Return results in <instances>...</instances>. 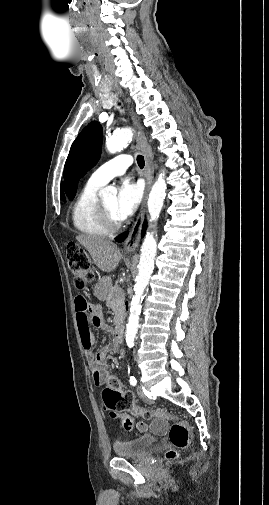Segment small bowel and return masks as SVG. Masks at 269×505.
<instances>
[{
  "instance_id": "obj_1",
  "label": "small bowel",
  "mask_w": 269,
  "mask_h": 505,
  "mask_svg": "<svg viewBox=\"0 0 269 505\" xmlns=\"http://www.w3.org/2000/svg\"><path fill=\"white\" fill-rule=\"evenodd\" d=\"M75 307L82 345L91 364L92 379L96 385H103L109 376L106 359L112 348L108 346L94 353L92 350L94 343L92 328L108 331L109 326L102 316L101 308L98 305L92 304L90 298L78 296L75 299ZM167 428L168 421L165 417H157L150 423L146 421H139L137 423V430L140 433H144L150 429L156 434L163 435L166 433Z\"/></svg>"
}]
</instances>
